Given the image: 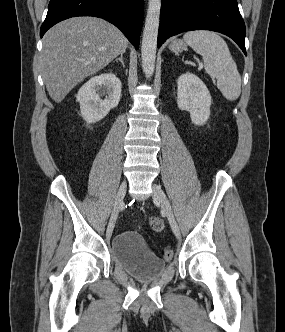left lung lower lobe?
<instances>
[{"mask_svg": "<svg viewBox=\"0 0 285 332\" xmlns=\"http://www.w3.org/2000/svg\"><path fill=\"white\" fill-rule=\"evenodd\" d=\"M211 30L232 38L246 54L237 0H162L157 46L185 31Z\"/></svg>", "mask_w": 285, "mask_h": 332, "instance_id": "1", "label": "left lung lower lobe"}]
</instances>
